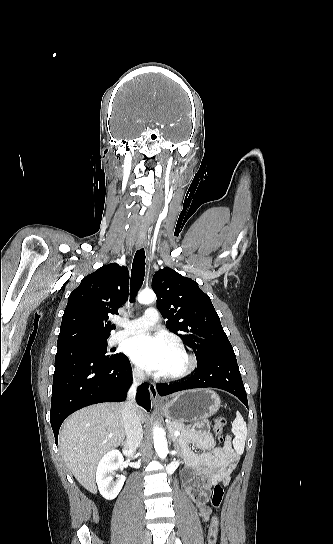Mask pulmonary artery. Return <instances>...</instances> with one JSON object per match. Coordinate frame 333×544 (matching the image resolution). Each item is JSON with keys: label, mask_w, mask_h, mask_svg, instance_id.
<instances>
[{"label": "pulmonary artery", "mask_w": 333, "mask_h": 544, "mask_svg": "<svg viewBox=\"0 0 333 544\" xmlns=\"http://www.w3.org/2000/svg\"><path fill=\"white\" fill-rule=\"evenodd\" d=\"M158 320V311L152 307L146 309L144 315L141 317L132 320H118L117 324L121 326L122 329L111 336L110 343L115 344L129 335L146 330L155 325Z\"/></svg>", "instance_id": "1"}]
</instances>
